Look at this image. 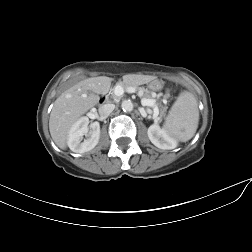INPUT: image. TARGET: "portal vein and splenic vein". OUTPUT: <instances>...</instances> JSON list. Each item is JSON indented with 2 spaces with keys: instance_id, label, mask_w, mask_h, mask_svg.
Listing matches in <instances>:
<instances>
[{
  "instance_id": "18ae733b",
  "label": "portal vein and splenic vein",
  "mask_w": 252,
  "mask_h": 252,
  "mask_svg": "<svg viewBox=\"0 0 252 252\" xmlns=\"http://www.w3.org/2000/svg\"><path fill=\"white\" fill-rule=\"evenodd\" d=\"M114 92H115V94L117 96H121V95H123L124 90H123V88L121 86H116ZM128 92L129 93H134L135 92V88L129 87L128 88ZM139 96L141 97L140 94H139ZM141 103H142L143 106H154V104L151 101L147 100V99H142ZM158 114H159V110H158L157 107H155L154 108V118H156L158 116Z\"/></svg>"
}]
</instances>
